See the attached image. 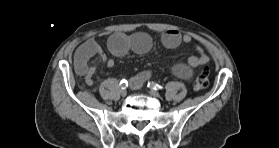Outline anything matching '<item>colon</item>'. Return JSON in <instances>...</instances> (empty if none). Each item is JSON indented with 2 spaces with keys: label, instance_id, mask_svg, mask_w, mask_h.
Returning a JSON list of instances; mask_svg holds the SVG:
<instances>
[{
  "label": "colon",
  "instance_id": "obj_1",
  "mask_svg": "<svg viewBox=\"0 0 279 148\" xmlns=\"http://www.w3.org/2000/svg\"><path fill=\"white\" fill-rule=\"evenodd\" d=\"M208 85H209V69L207 67H202L196 72L193 87L195 90H203L207 88Z\"/></svg>",
  "mask_w": 279,
  "mask_h": 148
}]
</instances>
